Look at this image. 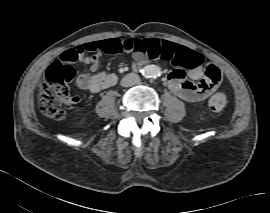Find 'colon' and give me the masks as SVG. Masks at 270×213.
<instances>
[{
	"label": "colon",
	"mask_w": 270,
	"mask_h": 213,
	"mask_svg": "<svg viewBox=\"0 0 270 213\" xmlns=\"http://www.w3.org/2000/svg\"><path fill=\"white\" fill-rule=\"evenodd\" d=\"M154 48V44L146 43L142 39H114L109 41L107 51L109 53H120L131 51L147 56L149 51ZM82 55L80 47L75 46L60 55V60L51 63L41 82L40 93L38 96V107L41 113L54 120H62L66 111L65 104L72 103L76 97L72 95L69 84L72 82L75 70V63ZM169 60V59H168ZM200 63V57H195V64ZM205 74L219 79V69L213 64H206ZM228 103L225 90L216 92L209 100V109L212 112L222 111Z\"/></svg>",
	"instance_id": "1"
}]
</instances>
